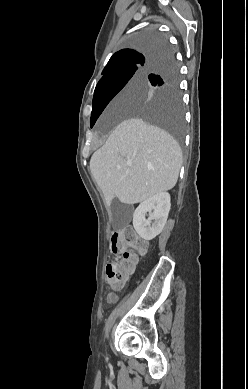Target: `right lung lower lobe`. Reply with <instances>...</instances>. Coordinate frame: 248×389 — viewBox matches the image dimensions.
Instances as JSON below:
<instances>
[{
	"mask_svg": "<svg viewBox=\"0 0 248 389\" xmlns=\"http://www.w3.org/2000/svg\"><path fill=\"white\" fill-rule=\"evenodd\" d=\"M169 50V47L167 44H165L159 51H158V55L160 56L159 58L163 57L164 54H166ZM159 77L158 74H154V79H157Z\"/></svg>",
	"mask_w": 248,
	"mask_h": 389,
	"instance_id": "right-lung-lower-lobe-1",
	"label": "right lung lower lobe"
}]
</instances>
